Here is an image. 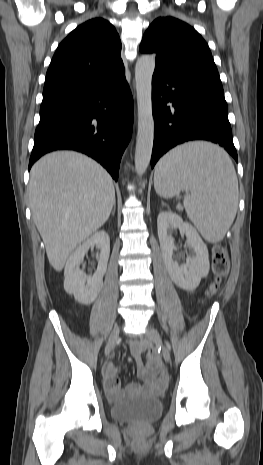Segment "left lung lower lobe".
<instances>
[{
	"instance_id": "obj_1",
	"label": "left lung lower lobe",
	"mask_w": 263,
	"mask_h": 465,
	"mask_svg": "<svg viewBox=\"0 0 263 465\" xmlns=\"http://www.w3.org/2000/svg\"><path fill=\"white\" fill-rule=\"evenodd\" d=\"M152 109L155 119L152 168L168 150L192 140L217 143L238 161L221 82L198 73L156 66Z\"/></svg>"
}]
</instances>
